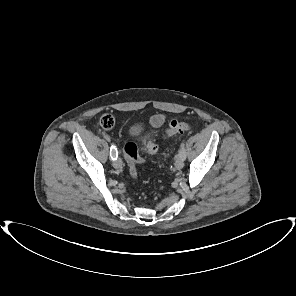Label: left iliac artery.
<instances>
[{
  "label": "left iliac artery",
  "mask_w": 296,
  "mask_h": 296,
  "mask_svg": "<svg viewBox=\"0 0 296 296\" xmlns=\"http://www.w3.org/2000/svg\"><path fill=\"white\" fill-rule=\"evenodd\" d=\"M178 156L182 157L184 159L186 158V152H185V149H184V145H181Z\"/></svg>",
  "instance_id": "44dca946"
}]
</instances>
